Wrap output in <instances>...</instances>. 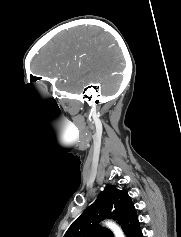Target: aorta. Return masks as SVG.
<instances>
[{
  "label": "aorta",
  "instance_id": "aorta-1",
  "mask_svg": "<svg viewBox=\"0 0 181 237\" xmlns=\"http://www.w3.org/2000/svg\"><path fill=\"white\" fill-rule=\"evenodd\" d=\"M105 225L113 231L115 237H125L120 227L117 226L115 223L108 221L105 223Z\"/></svg>",
  "mask_w": 181,
  "mask_h": 237
}]
</instances>
